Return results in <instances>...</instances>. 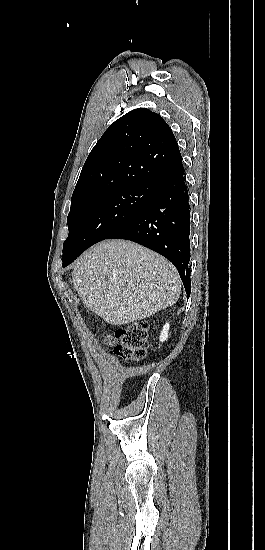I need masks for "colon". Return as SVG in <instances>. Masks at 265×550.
<instances>
[{"mask_svg":"<svg viewBox=\"0 0 265 550\" xmlns=\"http://www.w3.org/2000/svg\"><path fill=\"white\" fill-rule=\"evenodd\" d=\"M148 323L136 321L115 330L120 343L114 347V353L128 361H140L146 356Z\"/></svg>","mask_w":265,"mask_h":550,"instance_id":"colon-1","label":"colon"}]
</instances>
